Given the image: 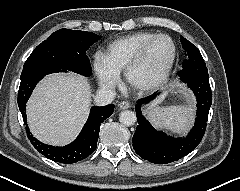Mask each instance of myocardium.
I'll return each instance as SVG.
<instances>
[{"label": "myocardium", "mask_w": 240, "mask_h": 191, "mask_svg": "<svg viewBox=\"0 0 240 191\" xmlns=\"http://www.w3.org/2000/svg\"><path fill=\"white\" fill-rule=\"evenodd\" d=\"M160 39H166L169 40V42L172 45V55L171 59L164 71V73L161 75V77L156 80L153 83L150 84H138L133 81V73L135 70L144 62L148 51L150 50L151 46ZM177 58V46L175 44V41L166 34H157L153 38H151L149 41H147L143 47L140 49L136 57L129 63V65L126 67L124 71V76L127 84L134 90L140 92V93H149L158 90L160 87H162L166 81L168 80L172 69L174 67L175 61Z\"/></svg>", "instance_id": "obj_1"}]
</instances>
